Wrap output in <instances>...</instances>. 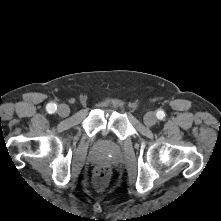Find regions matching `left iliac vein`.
<instances>
[{"instance_id": "left-iliac-vein-1", "label": "left iliac vein", "mask_w": 221, "mask_h": 221, "mask_svg": "<svg viewBox=\"0 0 221 221\" xmlns=\"http://www.w3.org/2000/svg\"><path fill=\"white\" fill-rule=\"evenodd\" d=\"M157 122V118L154 112H148L145 114L144 116V123L148 126V127H152L156 124Z\"/></svg>"}]
</instances>
